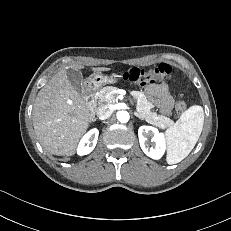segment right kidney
<instances>
[{"label": "right kidney", "instance_id": "obj_1", "mask_svg": "<svg viewBox=\"0 0 231 231\" xmlns=\"http://www.w3.org/2000/svg\"><path fill=\"white\" fill-rule=\"evenodd\" d=\"M98 135L99 131L96 128L91 129L87 134H85L78 145V155H87L92 152L97 144Z\"/></svg>", "mask_w": 231, "mask_h": 231}]
</instances>
